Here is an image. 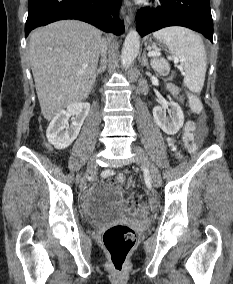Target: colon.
I'll list each match as a JSON object with an SVG mask.
<instances>
[{
    "instance_id": "5ec220e1",
    "label": "colon",
    "mask_w": 233,
    "mask_h": 284,
    "mask_svg": "<svg viewBox=\"0 0 233 284\" xmlns=\"http://www.w3.org/2000/svg\"><path fill=\"white\" fill-rule=\"evenodd\" d=\"M153 68L161 75L169 73V65L162 58H155L152 62ZM190 109L197 114L202 113L203 104L200 99L194 95H189ZM183 143L190 153H194L200 147L203 141V134L200 133L194 125L186 124L182 135ZM104 179L115 178L118 185H124L126 177L123 174H116L112 169H107L102 173ZM149 208L146 204H139L136 209V215L139 219H145ZM103 245L108 253L111 265L115 271H122L126 266L128 256L136 242V232L127 225L115 224L110 226L103 233Z\"/></svg>"
}]
</instances>
